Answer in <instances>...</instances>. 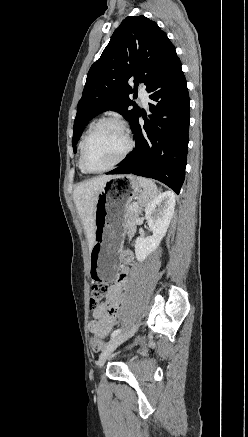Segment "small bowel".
<instances>
[{"instance_id":"obj_1","label":"small bowel","mask_w":248,"mask_h":437,"mask_svg":"<svg viewBox=\"0 0 248 437\" xmlns=\"http://www.w3.org/2000/svg\"><path fill=\"white\" fill-rule=\"evenodd\" d=\"M125 263L132 260V252L125 250L122 253ZM129 269L123 268L118 280L110 286L105 301L93 307L94 320L90 323V332L100 338H105L119 323L124 309L123 291L127 285Z\"/></svg>"}]
</instances>
